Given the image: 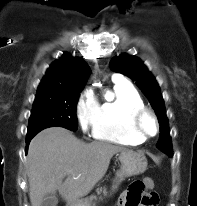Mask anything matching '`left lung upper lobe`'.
<instances>
[{
    "label": "left lung upper lobe",
    "mask_w": 197,
    "mask_h": 206,
    "mask_svg": "<svg viewBox=\"0 0 197 206\" xmlns=\"http://www.w3.org/2000/svg\"><path fill=\"white\" fill-rule=\"evenodd\" d=\"M110 67L117 73L124 74L136 82L148 98L153 107L160 125V135L157 147L163 152L172 151V143L169 132L168 119L166 116L164 101L158 83L147 67L134 56L122 54L110 61Z\"/></svg>",
    "instance_id": "5c2ea615"
}]
</instances>
